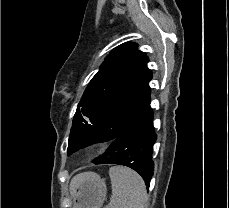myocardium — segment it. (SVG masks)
Returning a JSON list of instances; mask_svg holds the SVG:
<instances>
[{"instance_id": "f54148a6", "label": "myocardium", "mask_w": 229, "mask_h": 208, "mask_svg": "<svg viewBox=\"0 0 229 208\" xmlns=\"http://www.w3.org/2000/svg\"><path fill=\"white\" fill-rule=\"evenodd\" d=\"M114 143L112 137L101 135L88 142L82 151L87 158H96L109 151L114 146Z\"/></svg>"}]
</instances>
